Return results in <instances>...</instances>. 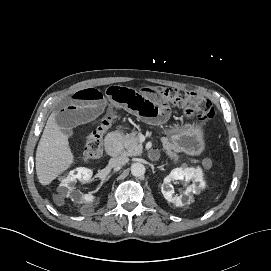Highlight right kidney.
I'll use <instances>...</instances> for the list:
<instances>
[{"label": "right kidney", "mask_w": 271, "mask_h": 271, "mask_svg": "<svg viewBox=\"0 0 271 271\" xmlns=\"http://www.w3.org/2000/svg\"><path fill=\"white\" fill-rule=\"evenodd\" d=\"M91 177L92 171L90 169L85 167H78L70 171L69 175L61 181L59 185V191L66 197H70L73 201L78 203H92L94 200L93 195H83L74 190L77 180L87 182Z\"/></svg>", "instance_id": "right-kidney-1"}]
</instances>
